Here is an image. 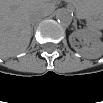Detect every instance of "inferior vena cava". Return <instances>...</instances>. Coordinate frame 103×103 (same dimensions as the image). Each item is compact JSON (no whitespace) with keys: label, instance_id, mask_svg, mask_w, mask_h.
<instances>
[{"label":"inferior vena cava","instance_id":"inferior-vena-cava-1","mask_svg":"<svg viewBox=\"0 0 103 103\" xmlns=\"http://www.w3.org/2000/svg\"><path fill=\"white\" fill-rule=\"evenodd\" d=\"M44 16H45V14H43V13H34L31 15L30 21L33 22V21L41 20Z\"/></svg>","mask_w":103,"mask_h":103}]
</instances>
